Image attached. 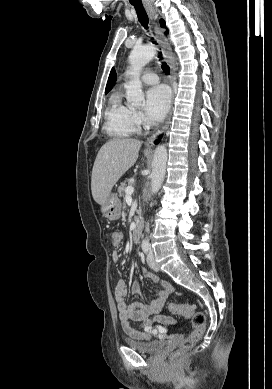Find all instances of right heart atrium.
I'll use <instances>...</instances> for the list:
<instances>
[{
    "mask_svg": "<svg viewBox=\"0 0 272 389\" xmlns=\"http://www.w3.org/2000/svg\"><path fill=\"white\" fill-rule=\"evenodd\" d=\"M134 119L137 125H142L145 123V118L143 114L139 111L134 112Z\"/></svg>",
    "mask_w": 272,
    "mask_h": 389,
    "instance_id": "right-heart-atrium-1",
    "label": "right heart atrium"
}]
</instances>
